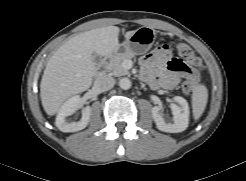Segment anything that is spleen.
<instances>
[{"label":"spleen","instance_id":"spleen-1","mask_svg":"<svg viewBox=\"0 0 246 181\" xmlns=\"http://www.w3.org/2000/svg\"><path fill=\"white\" fill-rule=\"evenodd\" d=\"M208 102V89L204 84H197L193 88L191 104L195 120H198L203 114Z\"/></svg>","mask_w":246,"mask_h":181}]
</instances>
